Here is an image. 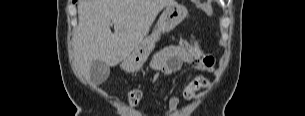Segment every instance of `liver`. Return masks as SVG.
<instances>
[{
    "label": "liver",
    "mask_w": 305,
    "mask_h": 116,
    "mask_svg": "<svg viewBox=\"0 0 305 116\" xmlns=\"http://www.w3.org/2000/svg\"><path fill=\"white\" fill-rule=\"evenodd\" d=\"M175 0H80L73 35L76 73L90 80L93 61L116 66L148 33L159 12ZM114 25V33L110 24Z\"/></svg>",
    "instance_id": "6515ba94"
}]
</instances>
